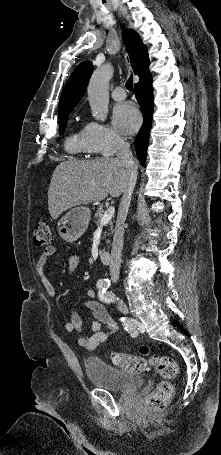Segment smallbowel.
Wrapping results in <instances>:
<instances>
[{
	"mask_svg": "<svg viewBox=\"0 0 221 455\" xmlns=\"http://www.w3.org/2000/svg\"><path fill=\"white\" fill-rule=\"evenodd\" d=\"M56 253V248L53 246L45 248L35 265L36 273L39 275L41 282L50 296H54L56 291L47 277L45 271L49 259ZM79 264V259L76 256H72L69 259V271H74ZM86 306L91 310L94 321L90 326V330L87 334H82V319L78 312L74 311L69 321L64 324V330L68 333L77 332L80 334L78 338V344L92 351L97 348L100 344L105 343L117 330L118 324L114 318L108 313L106 308L95 300V292L93 290L87 291ZM102 326H105L104 331L101 330Z\"/></svg>",
	"mask_w": 221,
	"mask_h": 455,
	"instance_id": "c3829d8e",
	"label": "small bowel"
}]
</instances>
